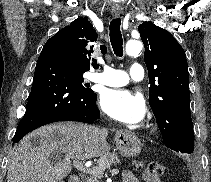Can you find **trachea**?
<instances>
[{
    "label": "trachea",
    "instance_id": "trachea-1",
    "mask_svg": "<svg viewBox=\"0 0 211 182\" xmlns=\"http://www.w3.org/2000/svg\"><path fill=\"white\" fill-rule=\"evenodd\" d=\"M121 20L115 18L110 22V42L114 51V54L118 57L123 56V38L120 31Z\"/></svg>",
    "mask_w": 211,
    "mask_h": 182
}]
</instances>
